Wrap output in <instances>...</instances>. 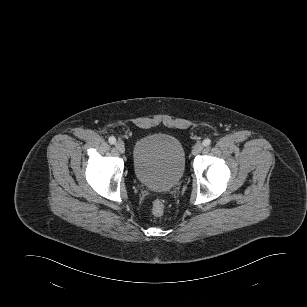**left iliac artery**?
I'll use <instances>...</instances> for the list:
<instances>
[{
  "instance_id": "1",
  "label": "left iliac artery",
  "mask_w": 307,
  "mask_h": 307,
  "mask_svg": "<svg viewBox=\"0 0 307 307\" xmlns=\"http://www.w3.org/2000/svg\"><path fill=\"white\" fill-rule=\"evenodd\" d=\"M211 144V140L209 138H206L204 141H203V145L204 146H209Z\"/></svg>"
}]
</instances>
